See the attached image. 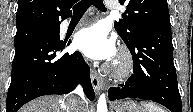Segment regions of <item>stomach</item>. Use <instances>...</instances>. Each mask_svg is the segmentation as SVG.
<instances>
[{
    "label": "stomach",
    "instance_id": "stomach-1",
    "mask_svg": "<svg viewBox=\"0 0 193 112\" xmlns=\"http://www.w3.org/2000/svg\"><path fill=\"white\" fill-rule=\"evenodd\" d=\"M114 112H144L134 101H125L115 107Z\"/></svg>",
    "mask_w": 193,
    "mask_h": 112
}]
</instances>
